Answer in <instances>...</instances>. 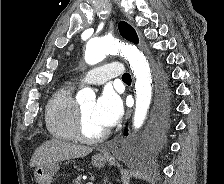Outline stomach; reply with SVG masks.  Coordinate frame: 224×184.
I'll return each instance as SVG.
<instances>
[{
	"label": "stomach",
	"instance_id": "1",
	"mask_svg": "<svg viewBox=\"0 0 224 184\" xmlns=\"http://www.w3.org/2000/svg\"><path fill=\"white\" fill-rule=\"evenodd\" d=\"M107 161L108 157L102 154H96L92 157V165L97 168L104 167ZM58 169L59 165L56 162L38 166L34 171L36 182L38 184H51Z\"/></svg>",
	"mask_w": 224,
	"mask_h": 184
}]
</instances>
